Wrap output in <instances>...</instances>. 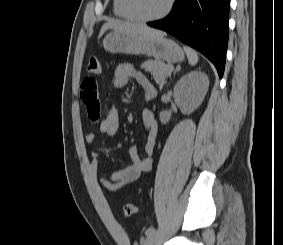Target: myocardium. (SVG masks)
<instances>
[{
	"mask_svg": "<svg viewBox=\"0 0 283 245\" xmlns=\"http://www.w3.org/2000/svg\"><path fill=\"white\" fill-rule=\"evenodd\" d=\"M124 1H125L126 11L133 20L140 21V22H147V23L158 21V20L165 18L170 13V11L172 10L174 3H175V0H168L167 4H166L165 8L162 10V12H160L159 14H157L155 16L144 17V16H141V15H138L134 11V8H133V5H132V0H124Z\"/></svg>",
	"mask_w": 283,
	"mask_h": 245,
	"instance_id": "myocardium-1",
	"label": "myocardium"
}]
</instances>
